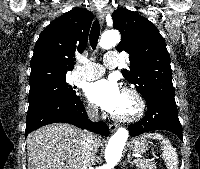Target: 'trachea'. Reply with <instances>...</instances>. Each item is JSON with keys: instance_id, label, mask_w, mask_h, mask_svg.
<instances>
[{"instance_id": "1", "label": "trachea", "mask_w": 200, "mask_h": 169, "mask_svg": "<svg viewBox=\"0 0 200 169\" xmlns=\"http://www.w3.org/2000/svg\"><path fill=\"white\" fill-rule=\"evenodd\" d=\"M99 36H100V25H99V21L95 20L92 25L90 36H89L90 45L93 50H95L97 47Z\"/></svg>"}]
</instances>
